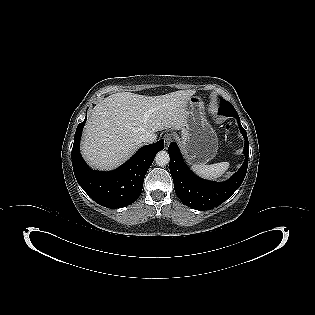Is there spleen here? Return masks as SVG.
<instances>
[{"mask_svg":"<svg viewBox=\"0 0 315 315\" xmlns=\"http://www.w3.org/2000/svg\"><path fill=\"white\" fill-rule=\"evenodd\" d=\"M192 170L199 176L207 179H217L221 177L229 168L228 162H220L214 164H194Z\"/></svg>","mask_w":315,"mask_h":315,"instance_id":"spleen-1","label":"spleen"}]
</instances>
